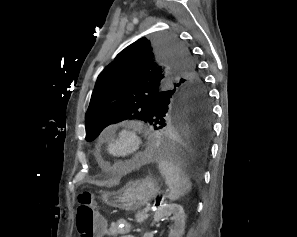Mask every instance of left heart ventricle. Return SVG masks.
<instances>
[{
	"instance_id": "left-heart-ventricle-1",
	"label": "left heart ventricle",
	"mask_w": 297,
	"mask_h": 237,
	"mask_svg": "<svg viewBox=\"0 0 297 237\" xmlns=\"http://www.w3.org/2000/svg\"><path fill=\"white\" fill-rule=\"evenodd\" d=\"M131 149V144L126 138H120L112 142L111 153L117 158L127 154Z\"/></svg>"
}]
</instances>
